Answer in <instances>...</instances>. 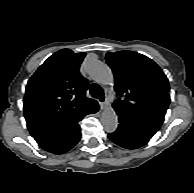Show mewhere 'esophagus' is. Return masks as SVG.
Segmentation results:
<instances>
[{"label":"esophagus","instance_id":"esophagus-1","mask_svg":"<svg viewBox=\"0 0 194 193\" xmlns=\"http://www.w3.org/2000/svg\"><path fill=\"white\" fill-rule=\"evenodd\" d=\"M99 104H100L101 109H104L105 107H107L108 102L107 101L99 102Z\"/></svg>","mask_w":194,"mask_h":193}]
</instances>
